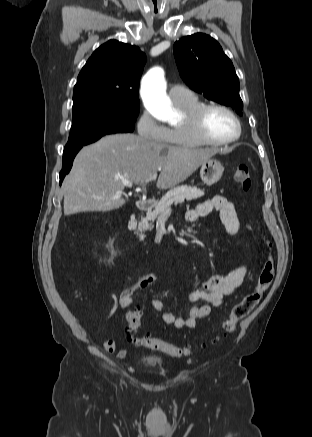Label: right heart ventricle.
<instances>
[{
    "label": "right heart ventricle",
    "instance_id": "right-heart-ventricle-1",
    "mask_svg": "<svg viewBox=\"0 0 312 437\" xmlns=\"http://www.w3.org/2000/svg\"><path fill=\"white\" fill-rule=\"evenodd\" d=\"M174 104L182 111L184 116L188 115L190 112L202 105L199 99L193 94L188 99ZM164 143L183 148H194L202 145V143L197 141L187 130L184 122L168 128V136Z\"/></svg>",
    "mask_w": 312,
    "mask_h": 437
}]
</instances>
